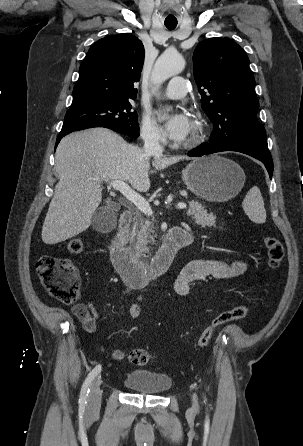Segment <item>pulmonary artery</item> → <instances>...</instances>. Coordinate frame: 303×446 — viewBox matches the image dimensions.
Here are the masks:
<instances>
[{
	"instance_id": "1",
	"label": "pulmonary artery",
	"mask_w": 303,
	"mask_h": 446,
	"mask_svg": "<svg viewBox=\"0 0 303 446\" xmlns=\"http://www.w3.org/2000/svg\"><path fill=\"white\" fill-rule=\"evenodd\" d=\"M187 83L183 77L175 76L173 77L165 87L163 91V98L165 99H180L186 95Z\"/></svg>"
}]
</instances>
